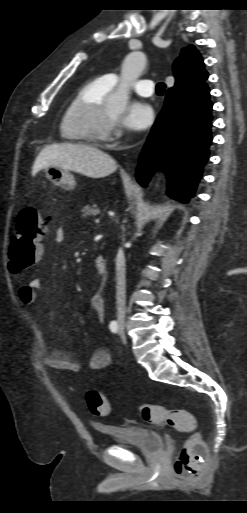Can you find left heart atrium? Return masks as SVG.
<instances>
[{
	"label": "left heart atrium",
	"mask_w": 247,
	"mask_h": 513,
	"mask_svg": "<svg viewBox=\"0 0 247 513\" xmlns=\"http://www.w3.org/2000/svg\"><path fill=\"white\" fill-rule=\"evenodd\" d=\"M155 120V113L150 105L143 101H133L126 109L123 123L135 130L150 127Z\"/></svg>",
	"instance_id": "left-heart-atrium-1"
}]
</instances>
